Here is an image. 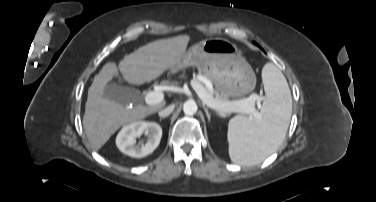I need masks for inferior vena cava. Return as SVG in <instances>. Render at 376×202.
<instances>
[{
    "instance_id": "1",
    "label": "inferior vena cava",
    "mask_w": 376,
    "mask_h": 202,
    "mask_svg": "<svg viewBox=\"0 0 376 202\" xmlns=\"http://www.w3.org/2000/svg\"><path fill=\"white\" fill-rule=\"evenodd\" d=\"M174 110V105H169L163 109H161L159 112H158V115L161 117V118H164V117H167L169 116Z\"/></svg>"
}]
</instances>
